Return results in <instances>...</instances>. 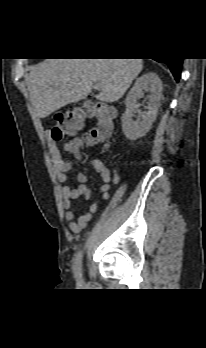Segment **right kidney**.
Listing matches in <instances>:
<instances>
[{"label": "right kidney", "mask_w": 206, "mask_h": 348, "mask_svg": "<svg viewBox=\"0 0 206 348\" xmlns=\"http://www.w3.org/2000/svg\"><path fill=\"white\" fill-rule=\"evenodd\" d=\"M144 91L149 93L146 96L147 111L141 112L138 110V100L144 96ZM161 97L162 82L157 74L148 72L136 79L126 96V110L121 118L122 130L127 139L137 140L150 130L161 105ZM135 113H138L136 121L133 120Z\"/></svg>", "instance_id": "ca27d5eb"}]
</instances>
